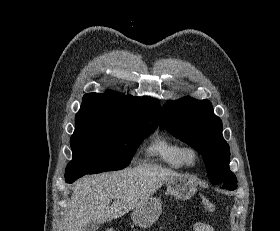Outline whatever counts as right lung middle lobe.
Masks as SVG:
<instances>
[{
    "instance_id": "dd1d6c3e",
    "label": "right lung middle lobe",
    "mask_w": 280,
    "mask_h": 231,
    "mask_svg": "<svg viewBox=\"0 0 280 231\" xmlns=\"http://www.w3.org/2000/svg\"><path fill=\"white\" fill-rule=\"evenodd\" d=\"M156 128L112 118L75 119L70 139L73 160L66 173L94 174L125 168Z\"/></svg>"
}]
</instances>
